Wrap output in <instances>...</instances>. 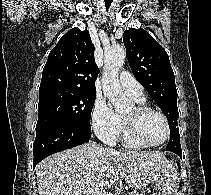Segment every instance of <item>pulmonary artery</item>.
<instances>
[{
	"label": "pulmonary artery",
	"mask_w": 211,
	"mask_h": 195,
	"mask_svg": "<svg viewBox=\"0 0 211 195\" xmlns=\"http://www.w3.org/2000/svg\"><path fill=\"white\" fill-rule=\"evenodd\" d=\"M119 82L124 92L131 98L137 101L144 99L142 85L129 72H121Z\"/></svg>",
	"instance_id": "1"
}]
</instances>
